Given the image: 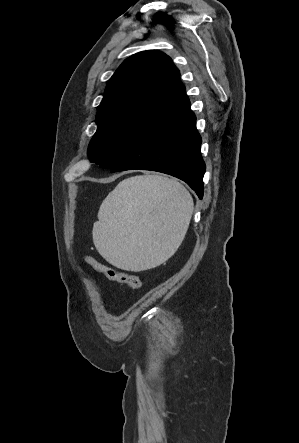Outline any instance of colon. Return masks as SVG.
<instances>
[{"mask_svg":"<svg viewBox=\"0 0 299 443\" xmlns=\"http://www.w3.org/2000/svg\"><path fill=\"white\" fill-rule=\"evenodd\" d=\"M83 259L89 266H91L97 272L103 274L108 279L116 281L118 283H124L128 285L133 291H137L140 289L141 280L136 274L114 269L88 255L84 256Z\"/></svg>","mask_w":299,"mask_h":443,"instance_id":"1","label":"colon"}]
</instances>
